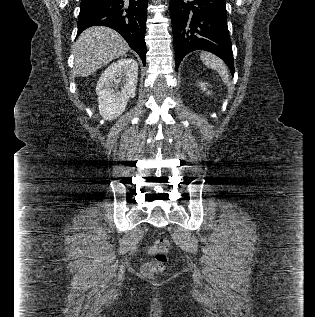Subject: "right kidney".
<instances>
[{
    "label": "right kidney",
    "mask_w": 315,
    "mask_h": 317,
    "mask_svg": "<svg viewBox=\"0 0 315 317\" xmlns=\"http://www.w3.org/2000/svg\"><path fill=\"white\" fill-rule=\"evenodd\" d=\"M138 64L134 59L124 58L112 63L101 74L96 86L99 112L105 120L120 116L130 98L135 97ZM116 84L121 85L117 91Z\"/></svg>",
    "instance_id": "right-kidney-1"
}]
</instances>
